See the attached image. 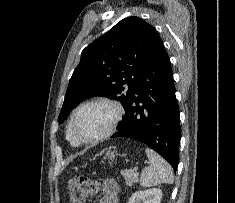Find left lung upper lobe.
<instances>
[{
  "label": "left lung upper lobe",
  "instance_id": "left-lung-upper-lobe-1",
  "mask_svg": "<svg viewBox=\"0 0 235 203\" xmlns=\"http://www.w3.org/2000/svg\"><path fill=\"white\" fill-rule=\"evenodd\" d=\"M160 40L153 26L132 16L88 45L69 81L60 122L80 102L94 96L119 100L126 110Z\"/></svg>",
  "mask_w": 235,
  "mask_h": 203
}]
</instances>
